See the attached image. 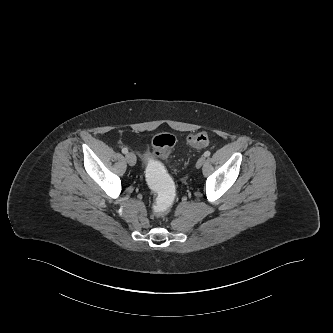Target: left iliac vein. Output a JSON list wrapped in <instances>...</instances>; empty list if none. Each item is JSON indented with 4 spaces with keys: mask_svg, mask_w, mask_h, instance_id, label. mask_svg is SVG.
Masks as SVG:
<instances>
[{
    "mask_svg": "<svg viewBox=\"0 0 333 333\" xmlns=\"http://www.w3.org/2000/svg\"><path fill=\"white\" fill-rule=\"evenodd\" d=\"M205 157H200L199 159H198V161H197V163H196V167L197 168H200L204 163H205Z\"/></svg>",
    "mask_w": 333,
    "mask_h": 333,
    "instance_id": "left-iliac-vein-1",
    "label": "left iliac vein"
}]
</instances>
